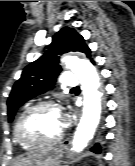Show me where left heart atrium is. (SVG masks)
<instances>
[{
	"instance_id": "1",
	"label": "left heart atrium",
	"mask_w": 135,
	"mask_h": 166,
	"mask_svg": "<svg viewBox=\"0 0 135 166\" xmlns=\"http://www.w3.org/2000/svg\"><path fill=\"white\" fill-rule=\"evenodd\" d=\"M67 123H68V115H63L61 117V125H62V127L64 128L67 125Z\"/></svg>"
}]
</instances>
